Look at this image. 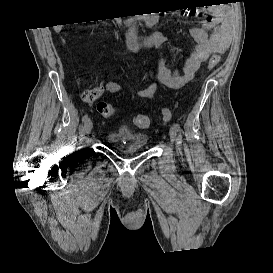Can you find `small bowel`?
Instances as JSON below:
<instances>
[{"instance_id":"c3829d8e","label":"small bowel","mask_w":273,"mask_h":273,"mask_svg":"<svg viewBox=\"0 0 273 273\" xmlns=\"http://www.w3.org/2000/svg\"><path fill=\"white\" fill-rule=\"evenodd\" d=\"M195 11V15H199ZM233 30L232 18L224 7L208 8L203 12L202 26L190 29V34L195 40L194 50L184 59V61L174 67H167L162 63L157 64L156 82L139 90L136 95L139 98H152L158 85H165L172 89H180L193 79L200 64L209 59L212 54L224 52L231 40ZM168 41L166 35L158 34L152 36L141 45L134 40L131 47L135 51L142 48L162 46ZM106 89L110 93H119L123 89L120 84L112 81L106 82Z\"/></svg>"}]
</instances>
